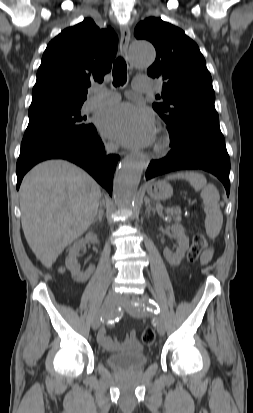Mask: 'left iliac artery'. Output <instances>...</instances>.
Instances as JSON below:
<instances>
[{
  "label": "left iliac artery",
  "instance_id": "left-iliac-artery-1",
  "mask_svg": "<svg viewBox=\"0 0 253 413\" xmlns=\"http://www.w3.org/2000/svg\"><path fill=\"white\" fill-rule=\"evenodd\" d=\"M135 305H140L141 307H144L147 310H150L156 314L160 313L159 305L146 295L143 296L141 299H138V303H135Z\"/></svg>",
  "mask_w": 253,
  "mask_h": 413
}]
</instances>
